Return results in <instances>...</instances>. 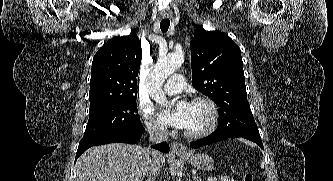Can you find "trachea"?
Returning a JSON list of instances; mask_svg holds the SVG:
<instances>
[{"mask_svg":"<svg viewBox=\"0 0 333 181\" xmlns=\"http://www.w3.org/2000/svg\"><path fill=\"white\" fill-rule=\"evenodd\" d=\"M170 26V21L169 20H162L160 23V28L162 32H166Z\"/></svg>","mask_w":333,"mask_h":181,"instance_id":"obj_1","label":"trachea"}]
</instances>
